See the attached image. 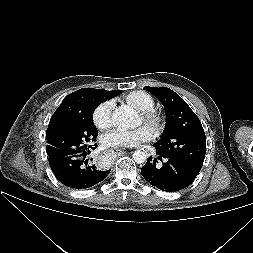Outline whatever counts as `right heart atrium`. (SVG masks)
Masks as SVG:
<instances>
[{
    "label": "right heart atrium",
    "mask_w": 253,
    "mask_h": 253,
    "mask_svg": "<svg viewBox=\"0 0 253 253\" xmlns=\"http://www.w3.org/2000/svg\"><path fill=\"white\" fill-rule=\"evenodd\" d=\"M114 102L106 100L100 103L93 112V122L99 129H106L111 125Z\"/></svg>",
    "instance_id": "right-heart-atrium-1"
}]
</instances>
